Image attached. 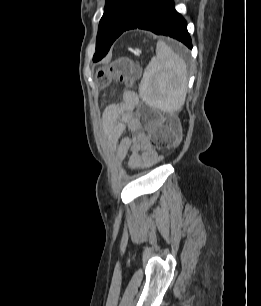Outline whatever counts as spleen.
<instances>
[{
	"label": "spleen",
	"instance_id": "obj_1",
	"mask_svg": "<svg viewBox=\"0 0 261 306\" xmlns=\"http://www.w3.org/2000/svg\"><path fill=\"white\" fill-rule=\"evenodd\" d=\"M187 93L185 61L163 41L156 46L153 57L139 85V95L149 106L168 112L180 110Z\"/></svg>",
	"mask_w": 261,
	"mask_h": 306
}]
</instances>
